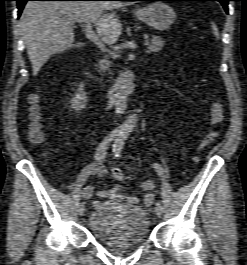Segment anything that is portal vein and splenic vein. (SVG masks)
<instances>
[{"label": "portal vein and splenic vein", "mask_w": 247, "mask_h": 265, "mask_svg": "<svg viewBox=\"0 0 247 265\" xmlns=\"http://www.w3.org/2000/svg\"><path fill=\"white\" fill-rule=\"evenodd\" d=\"M70 23L74 24L75 22H70ZM85 35L89 40H91L95 45H97L99 49L105 51V46L103 45L102 41L98 38V36L94 33V31L92 30V25L89 22H85ZM148 45L149 41H145L144 46Z\"/></svg>", "instance_id": "portal-vein-and-splenic-vein-1"}]
</instances>
